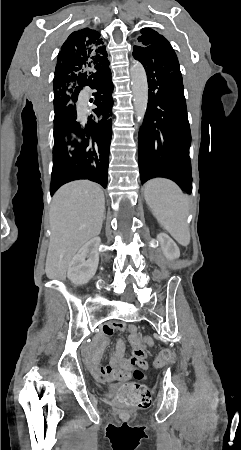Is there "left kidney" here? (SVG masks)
Segmentation results:
<instances>
[{"label": "left kidney", "instance_id": "obj_1", "mask_svg": "<svg viewBox=\"0 0 241 450\" xmlns=\"http://www.w3.org/2000/svg\"><path fill=\"white\" fill-rule=\"evenodd\" d=\"M157 240L160 242L161 250L168 260H176V258H179L180 250L167 234L161 232V234H158Z\"/></svg>", "mask_w": 241, "mask_h": 450}]
</instances>
